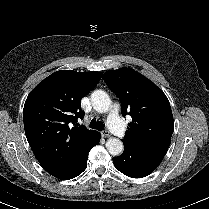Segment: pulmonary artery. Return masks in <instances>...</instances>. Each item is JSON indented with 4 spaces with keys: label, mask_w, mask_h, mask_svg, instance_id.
<instances>
[{
    "label": "pulmonary artery",
    "mask_w": 209,
    "mask_h": 209,
    "mask_svg": "<svg viewBox=\"0 0 209 209\" xmlns=\"http://www.w3.org/2000/svg\"><path fill=\"white\" fill-rule=\"evenodd\" d=\"M118 111L119 106L117 104L111 106L108 116V126L116 135L122 136L125 133V128L118 115Z\"/></svg>",
    "instance_id": "1"
}]
</instances>
